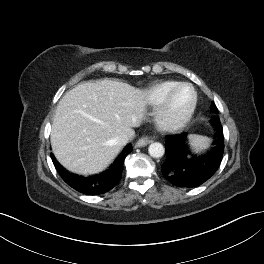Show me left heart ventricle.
<instances>
[{
    "label": "left heart ventricle",
    "instance_id": "obj_1",
    "mask_svg": "<svg viewBox=\"0 0 264 264\" xmlns=\"http://www.w3.org/2000/svg\"><path fill=\"white\" fill-rule=\"evenodd\" d=\"M192 98L191 90L184 87L179 90L174 98L173 111L175 116L181 115L189 105Z\"/></svg>",
    "mask_w": 264,
    "mask_h": 264
}]
</instances>
